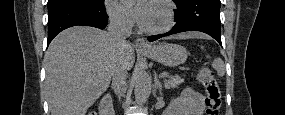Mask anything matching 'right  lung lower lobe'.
Listing matches in <instances>:
<instances>
[{
  "label": "right lung lower lobe",
  "instance_id": "right-lung-lower-lobe-1",
  "mask_svg": "<svg viewBox=\"0 0 285 115\" xmlns=\"http://www.w3.org/2000/svg\"><path fill=\"white\" fill-rule=\"evenodd\" d=\"M108 17L103 9H94L81 5H66L48 12V42L62 30L75 25L92 26L104 29Z\"/></svg>",
  "mask_w": 285,
  "mask_h": 115
}]
</instances>
